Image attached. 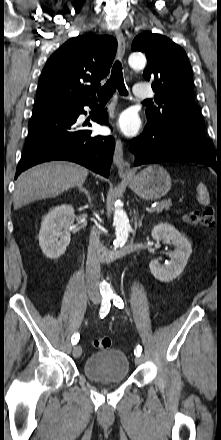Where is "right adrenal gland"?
<instances>
[{
  "label": "right adrenal gland",
  "mask_w": 221,
  "mask_h": 440,
  "mask_svg": "<svg viewBox=\"0 0 221 440\" xmlns=\"http://www.w3.org/2000/svg\"><path fill=\"white\" fill-rule=\"evenodd\" d=\"M78 189L86 194L88 202H89V204H91L92 198H91L88 190H86V188H84L83 186H79Z\"/></svg>",
  "instance_id": "obj_1"
}]
</instances>
